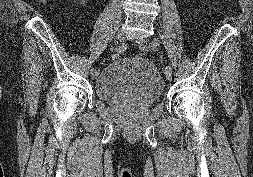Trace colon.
Returning a JSON list of instances; mask_svg holds the SVG:
<instances>
[{"label":"colon","instance_id":"colon-1","mask_svg":"<svg viewBox=\"0 0 253 177\" xmlns=\"http://www.w3.org/2000/svg\"><path fill=\"white\" fill-rule=\"evenodd\" d=\"M43 2H45V0H43ZM119 58V55L118 54H113L112 55V59L113 60H116V59H118Z\"/></svg>","mask_w":253,"mask_h":177}]
</instances>
